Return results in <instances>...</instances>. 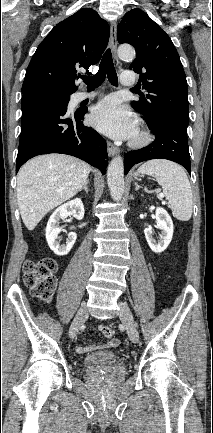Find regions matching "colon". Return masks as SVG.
I'll list each match as a JSON object with an SVG mask.
<instances>
[{"label": "colon", "instance_id": "colon-1", "mask_svg": "<svg viewBox=\"0 0 213 433\" xmlns=\"http://www.w3.org/2000/svg\"><path fill=\"white\" fill-rule=\"evenodd\" d=\"M56 271L57 263L53 258L27 260L23 265V280L34 297L49 302L57 287ZM100 331L107 339L114 337V330L109 326H101Z\"/></svg>", "mask_w": 213, "mask_h": 433}]
</instances>
